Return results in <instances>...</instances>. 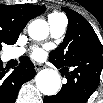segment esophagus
Masks as SVG:
<instances>
[{
	"label": "esophagus",
	"instance_id": "esophagus-1",
	"mask_svg": "<svg viewBox=\"0 0 103 103\" xmlns=\"http://www.w3.org/2000/svg\"><path fill=\"white\" fill-rule=\"evenodd\" d=\"M34 67H35V70L36 71H39L41 70L42 68H44V65L40 64V63H35L34 64Z\"/></svg>",
	"mask_w": 103,
	"mask_h": 103
}]
</instances>
